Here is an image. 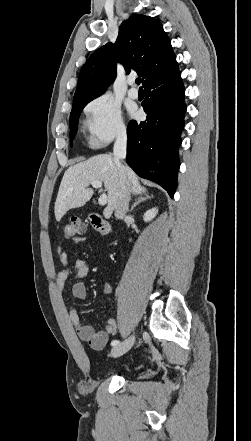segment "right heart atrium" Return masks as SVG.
<instances>
[{
	"label": "right heart atrium",
	"instance_id": "d8ad5b80",
	"mask_svg": "<svg viewBox=\"0 0 251 441\" xmlns=\"http://www.w3.org/2000/svg\"><path fill=\"white\" fill-rule=\"evenodd\" d=\"M85 127L89 143L102 147L126 134L119 104L109 95H100L91 100L84 109Z\"/></svg>",
	"mask_w": 251,
	"mask_h": 441
}]
</instances>
